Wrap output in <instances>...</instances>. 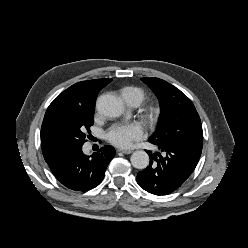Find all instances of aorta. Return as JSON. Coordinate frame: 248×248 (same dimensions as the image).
Returning a JSON list of instances; mask_svg holds the SVG:
<instances>
[{"label": "aorta", "instance_id": "aorta-1", "mask_svg": "<svg viewBox=\"0 0 248 248\" xmlns=\"http://www.w3.org/2000/svg\"><path fill=\"white\" fill-rule=\"evenodd\" d=\"M98 112L106 117H119L124 112L122 100L112 95H102L97 99ZM131 163L137 169H145L149 164V156L145 151H135L131 155Z\"/></svg>", "mask_w": 248, "mask_h": 248}]
</instances>
